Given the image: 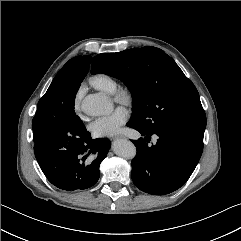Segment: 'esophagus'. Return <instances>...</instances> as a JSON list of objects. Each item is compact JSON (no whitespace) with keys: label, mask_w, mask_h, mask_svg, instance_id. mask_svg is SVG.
I'll return each instance as SVG.
<instances>
[{"label":"esophagus","mask_w":241,"mask_h":241,"mask_svg":"<svg viewBox=\"0 0 241 241\" xmlns=\"http://www.w3.org/2000/svg\"><path fill=\"white\" fill-rule=\"evenodd\" d=\"M121 138H123V137L122 136H116V137L113 138V140H118V139H121Z\"/></svg>","instance_id":"esophagus-1"}]
</instances>
